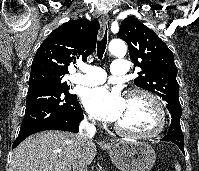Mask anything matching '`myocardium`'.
Returning <instances> with one entry per match:
<instances>
[{
	"instance_id": "myocardium-1",
	"label": "myocardium",
	"mask_w": 199,
	"mask_h": 171,
	"mask_svg": "<svg viewBox=\"0 0 199 171\" xmlns=\"http://www.w3.org/2000/svg\"><path fill=\"white\" fill-rule=\"evenodd\" d=\"M136 95L145 97L153 106V109L156 114V126L152 130L147 132L127 131L120 127L118 124L114 125V129L118 134L133 139H151L157 137L159 134L162 133L166 125L165 109L160 100L152 92L143 88H133L129 90L126 94V98H130Z\"/></svg>"
}]
</instances>
